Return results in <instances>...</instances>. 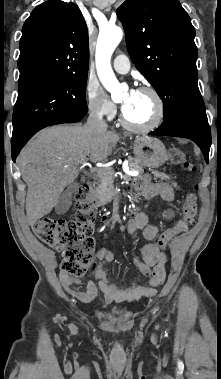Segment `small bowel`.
<instances>
[{
  "label": "small bowel",
  "mask_w": 221,
  "mask_h": 379,
  "mask_svg": "<svg viewBox=\"0 0 221 379\" xmlns=\"http://www.w3.org/2000/svg\"><path fill=\"white\" fill-rule=\"evenodd\" d=\"M135 187L147 199L161 197L169 202L173 200L174 192L178 188L175 182H151L147 177L137 182ZM127 231L130 235L141 231L146 240L152 241L159 233V226L149 224L148 216L143 212H137L129 219ZM104 237H107V233L104 234ZM158 254V245L156 243H147L141 249V259L134 260V265L144 277L151 275L152 267L157 262ZM102 260L112 263L115 260L114 252L106 248L97 251L96 260L88 268L89 274H87V277L89 279L84 291L74 289L75 286L80 284L79 278L65 272L60 273L61 283L71 297L88 304L96 298L98 290H100L104 295L106 305H108L114 302L133 303L142 297L155 294L154 290L135 282L126 287L116 285L111 281L110 275L102 268Z\"/></svg>",
  "instance_id": "obj_1"
}]
</instances>
